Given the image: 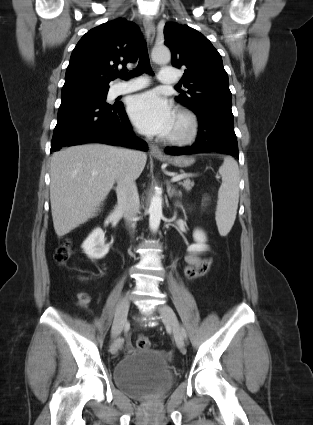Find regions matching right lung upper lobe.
<instances>
[{
  "mask_svg": "<svg viewBox=\"0 0 313 425\" xmlns=\"http://www.w3.org/2000/svg\"><path fill=\"white\" fill-rule=\"evenodd\" d=\"M141 40L139 27L124 18L89 30L71 54L62 91L109 88L119 73L117 66L126 69L137 60Z\"/></svg>",
  "mask_w": 313,
  "mask_h": 425,
  "instance_id": "obj_1",
  "label": "right lung upper lobe"
}]
</instances>
